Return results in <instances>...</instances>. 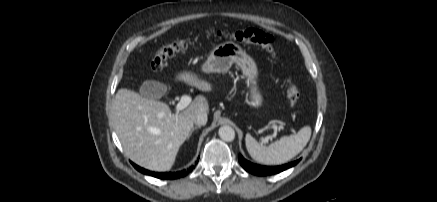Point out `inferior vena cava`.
Masks as SVG:
<instances>
[{"label": "inferior vena cava", "instance_id": "1", "mask_svg": "<svg viewBox=\"0 0 437 202\" xmlns=\"http://www.w3.org/2000/svg\"><path fill=\"white\" fill-rule=\"evenodd\" d=\"M207 119H208L207 112L201 111L194 116L193 121L198 126H201L207 123Z\"/></svg>", "mask_w": 437, "mask_h": 202}]
</instances>
